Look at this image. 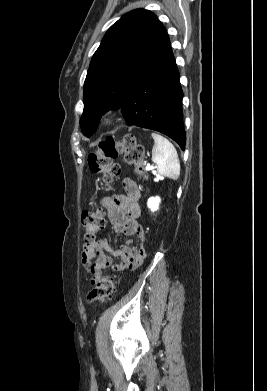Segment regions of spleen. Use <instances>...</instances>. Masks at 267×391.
I'll return each instance as SVG.
<instances>
[{"label": "spleen", "mask_w": 267, "mask_h": 391, "mask_svg": "<svg viewBox=\"0 0 267 391\" xmlns=\"http://www.w3.org/2000/svg\"><path fill=\"white\" fill-rule=\"evenodd\" d=\"M151 135L155 142L152 149V161L158 173L177 180L180 176V162L175 147L160 134L153 132Z\"/></svg>", "instance_id": "3e777b00"}]
</instances>
